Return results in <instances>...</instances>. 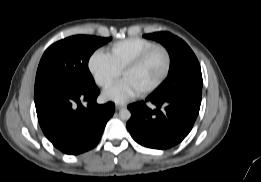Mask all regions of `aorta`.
I'll return each instance as SVG.
<instances>
[{
    "instance_id": "1",
    "label": "aorta",
    "mask_w": 261,
    "mask_h": 182,
    "mask_svg": "<svg viewBox=\"0 0 261 182\" xmlns=\"http://www.w3.org/2000/svg\"><path fill=\"white\" fill-rule=\"evenodd\" d=\"M130 117H131V112L128 109L124 108L119 111V118L121 120L127 121L130 119Z\"/></svg>"
}]
</instances>
